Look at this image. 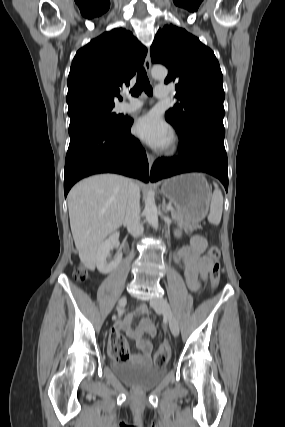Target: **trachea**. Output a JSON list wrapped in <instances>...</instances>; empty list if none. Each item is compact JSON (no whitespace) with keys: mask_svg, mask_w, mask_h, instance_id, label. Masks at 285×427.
Returning <instances> with one entry per match:
<instances>
[{"mask_svg":"<svg viewBox=\"0 0 285 427\" xmlns=\"http://www.w3.org/2000/svg\"><path fill=\"white\" fill-rule=\"evenodd\" d=\"M143 90L147 95L152 96L153 89L148 80L146 71L144 68H140L137 73V82L135 86L131 89L130 93L132 96L137 97L141 94Z\"/></svg>","mask_w":285,"mask_h":427,"instance_id":"3493384b","label":"trachea"}]
</instances>
